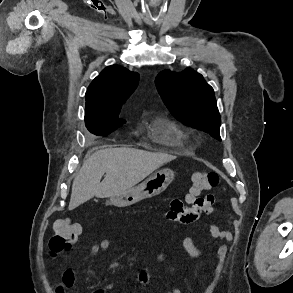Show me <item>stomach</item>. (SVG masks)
<instances>
[{
  "mask_svg": "<svg viewBox=\"0 0 293 293\" xmlns=\"http://www.w3.org/2000/svg\"><path fill=\"white\" fill-rule=\"evenodd\" d=\"M173 178L174 173L170 169L157 171L137 187L110 197V202L116 207H126L145 198L157 196L166 190Z\"/></svg>",
  "mask_w": 293,
  "mask_h": 293,
  "instance_id": "stomach-1",
  "label": "stomach"
}]
</instances>
